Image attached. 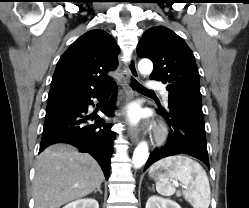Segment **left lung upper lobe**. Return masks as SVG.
Segmentation results:
<instances>
[{
  "mask_svg": "<svg viewBox=\"0 0 249 208\" xmlns=\"http://www.w3.org/2000/svg\"><path fill=\"white\" fill-rule=\"evenodd\" d=\"M137 54L152 60L150 79L166 84L169 98L202 108L198 68L181 37L167 27H152L143 34Z\"/></svg>",
  "mask_w": 249,
  "mask_h": 208,
  "instance_id": "left-lung-upper-lobe-1",
  "label": "left lung upper lobe"
}]
</instances>
